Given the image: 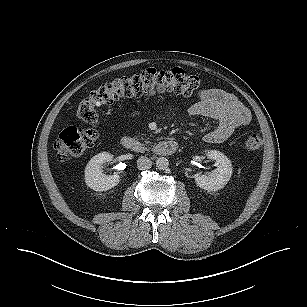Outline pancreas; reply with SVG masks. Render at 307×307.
Wrapping results in <instances>:
<instances>
[{
    "instance_id": "1",
    "label": "pancreas",
    "mask_w": 307,
    "mask_h": 307,
    "mask_svg": "<svg viewBox=\"0 0 307 307\" xmlns=\"http://www.w3.org/2000/svg\"><path fill=\"white\" fill-rule=\"evenodd\" d=\"M141 139L144 140L143 138H141ZM144 142L149 143V139H145Z\"/></svg>"
}]
</instances>
